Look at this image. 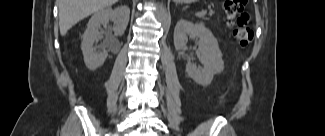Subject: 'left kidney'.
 <instances>
[{
  "label": "left kidney",
  "mask_w": 325,
  "mask_h": 136,
  "mask_svg": "<svg viewBox=\"0 0 325 136\" xmlns=\"http://www.w3.org/2000/svg\"><path fill=\"white\" fill-rule=\"evenodd\" d=\"M199 38L198 50L201 53L200 61L203 68H199L190 61L186 64V72L191 79L202 86L211 84L214 75L224 69L222 53L217 39L203 23L193 24L181 19L174 30V46L176 50L187 49V37Z\"/></svg>",
  "instance_id": "obj_1"
}]
</instances>
